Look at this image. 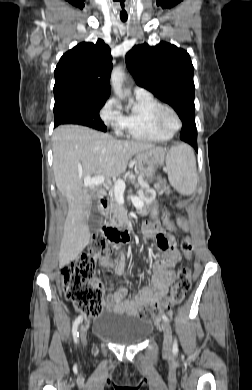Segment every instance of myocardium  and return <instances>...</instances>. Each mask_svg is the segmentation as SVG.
<instances>
[{
	"instance_id": "f54148a6",
	"label": "myocardium",
	"mask_w": 252,
	"mask_h": 390,
	"mask_svg": "<svg viewBox=\"0 0 252 390\" xmlns=\"http://www.w3.org/2000/svg\"><path fill=\"white\" fill-rule=\"evenodd\" d=\"M167 112L171 113L175 117L176 122H177L176 127L172 128V129L167 128L165 126V124L163 123V116ZM153 122L159 130H161L163 132H168L171 134H174L176 131H178L182 127V119H181L179 113L173 107H171L169 105H164V104H161L154 111Z\"/></svg>"
}]
</instances>
